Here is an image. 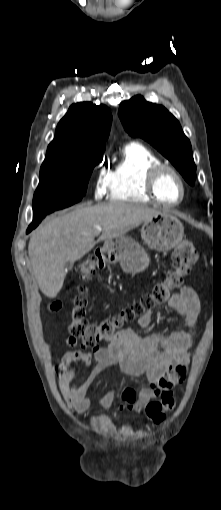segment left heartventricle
<instances>
[{"mask_svg": "<svg viewBox=\"0 0 221 510\" xmlns=\"http://www.w3.org/2000/svg\"><path fill=\"white\" fill-rule=\"evenodd\" d=\"M156 190L159 197L169 203L180 200L182 189L177 178L170 172H164L157 181Z\"/></svg>", "mask_w": 221, "mask_h": 510, "instance_id": "obj_1", "label": "left heart ventricle"}]
</instances>
